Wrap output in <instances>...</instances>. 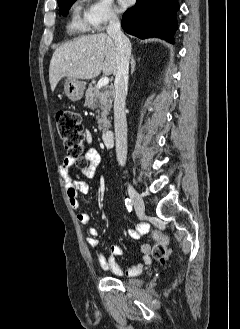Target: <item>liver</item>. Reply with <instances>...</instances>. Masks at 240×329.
Instances as JSON below:
<instances>
[{"instance_id":"6515ba94","label":"liver","mask_w":240,"mask_h":329,"mask_svg":"<svg viewBox=\"0 0 240 329\" xmlns=\"http://www.w3.org/2000/svg\"><path fill=\"white\" fill-rule=\"evenodd\" d=\"M101 71L105 75L116 72L114 40L105 33L79 37L54 51L49 66L51 90L64 77L93 79Z\"/></svg>"}]
</instances>
